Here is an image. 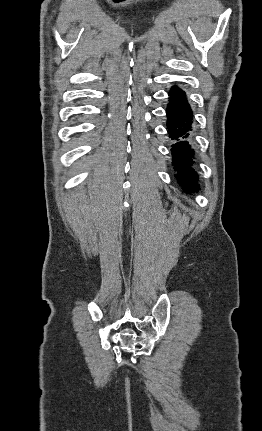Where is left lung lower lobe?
I'll list each match as a JSON object with an SVG mask.
<instances>
[{
	"mask_svg": "<svg viewBox=\"0 0 262 431\" xmlns=\"http://www.w3.org/2000/svg\"><path fill=\"white\" fill-rule=\"evenodd\" d=\"M166 113L169 137L174 141L171 152L176 171L175 177L183 191L196 192L200 188L195 151L192 148L193 112L185 92L177 86L169 91Z\"/></svg>",
	"mask_w": 262,
	"mask_h": 431,
	"instance_id": "left-lung-lower-lobe-1",
	"label": "left lung lower lobe"
}]
</instances>
